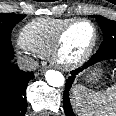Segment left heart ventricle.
I'll return each mask as SVG.
<instances>
[{"instance_id": "left-heart-ventricle-1", "label": "left heart ventricle", "mask_w": 116, "mask_h": 116, "mask_svg": "<svg viewBox=\"0 0 116 116\" xmlns=\"http://www.w3.org/2000/svg\"><path fill=\"white\" fill-rule=\"evenodd\" d=\"M92 27L87 23L74 25L64 39L63 58L66 61L77 59L91 42Z\"/></svg>"}]
</instances>
